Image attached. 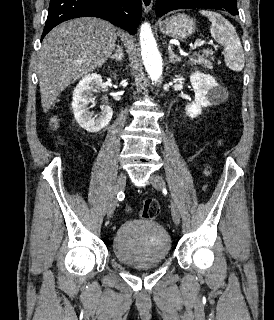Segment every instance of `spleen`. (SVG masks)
Returning a JSON list of instances; mask_svg holds the SVG:
<instances>
[{"label":"spleen","mask_w":274,"mask_h":320,"mask_svg":"<svg viewBox=\"0 0 274 320\" xmlns=\"http://www.w3.org/2000/svg\"><path fill=\"white\" fill-rule=\"evenodd\" d=\"M199 14L209 18L212 38H214L218 44L224 46L226 66H228L230 70H233V72H241L244 68L245 56L234 26H232L228 20H225L221 14H217V12L200 10Z\"/></svg>","instance_id":"obj_1"}]
</instances>
